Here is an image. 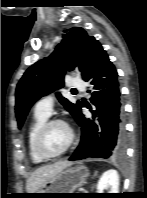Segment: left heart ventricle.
Returning a JSON list of instances; mask_svg holds the SVG:
<instances>
[{"mask_svg": "<svg viewBox=\"0 0 147 198\" xmlns=\"http://www.w3.org/2000/svg\"><path fill=\"white\" fill-rule=\"evenodd\" d=\"M67 141V129L61 124H55L48 129L44 137V147L47 151L56 153L65 146Z\"/></svg>", "mask_w": 147, "mask_h": 198, "instance_id": "b2bd125f", "label": "left heart ventricle"}]
</instances>
